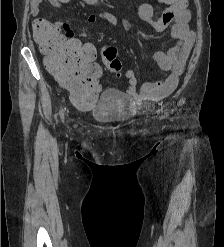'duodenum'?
Segmentation results:
<instances>
[{
  "label": "duodenum",
  "mask_w": 224,
  "mask_h": 247,
  "mask_svg": "<svg viewBox=\"0 0 224 247\" xmlns=\"http://www.w3.org/2000/svg\"><path fill=\"white\" fill-rule=\"evenodd\" d=\"M59 43V42H58ZM57 48V45L52 46V50H55Z\"/></svg>",
  "instance_id": "duodenum-1"
}]
</instances>
